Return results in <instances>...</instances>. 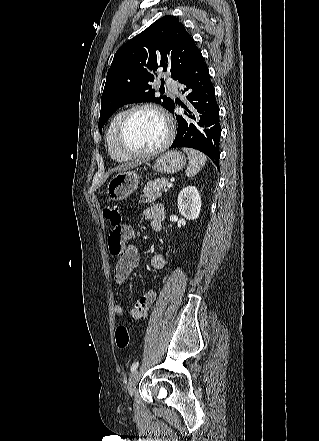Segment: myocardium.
<instances>
[{
  "label": "myocardium",
  "instance_id": "obj_1",
  "mask_svg": "<svg viewBox=\"0 0 319 441\" xmlns=\"http://www.w3.org/2000/svg\"><path fill=\"white\" fill-rule=\"evenodd\" d=\"M142 110L152 111L161 117V119L163 120V122L166 126V136H165V139L163 140V142L159 146H157L156 148L149 150V151H145V152H136V151L130 150L129 148H127L125 146V144L123 142V132H124V129L129 121L130 117L134 113H136L138 111H142ZM174 136H175V125H174L170 115L163 108H161L158 105L151 104V103H143V104L134 105L124 112L123 116L121 117V119L117 125L115 137H116V144H117L118 149L123 154L128 156L129 158H147V157L158 155V154L162 153L163 151H165L169 147V145L171 144Z\"/></svg>",
  "mask_w": 319,
  "mask_h": 441
}]
</instances>
